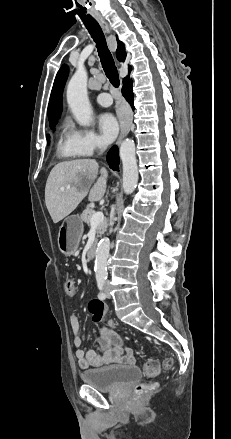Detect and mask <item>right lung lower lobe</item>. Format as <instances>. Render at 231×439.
Wrapping results in <instances>:
<instances>
[{
	"instance_id": "98d812e1",
	"label": "right lung lower lobe",
	"mask_w": 231,
	"mask_h": 439,
	"mask_svg": "<svg viewBox=\"0 0 231 439\" xmlns=\"http://www.w3.org/2000/svg\"><path fill=\"white\" fill-rule=\"evenodd\" d=\"M122 94L126 98L128 103L131 105V107L134 109V105H133V96L134 95L132 92V80L129 79V77H127L123 80ZM107 162H108L110 168L118 171V169H119L118 165L120 162H119V152H118V148L116 146H113L109 150V152L107 154Z\"/></svg>"
}]
</instances>
